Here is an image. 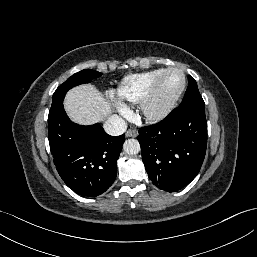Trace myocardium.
Listing matches in <instances>:
<instances>
[{
    "label": "myocardium",
    "mask_w": 257,
    "mask_h": 257,
    "mask_svg": "<svg viewBox=\"0 0 257 257\" xmlns=\"http://www.w3.org/2000/svg\"><path fill=\"white\" fill-rule=\"evenodd\" d=\"M171 72H179L182 75L183 80L181 88L172 98L166 101H160L159 95L163 80ZM186 81V75L181 69L175 67L165 69L156 79L152 88L141 102V109L144 117L153 122L161 121L166 118L184 93Z\"/></svg>",
    "instance_id": "obj_1"
}]
</instances>
